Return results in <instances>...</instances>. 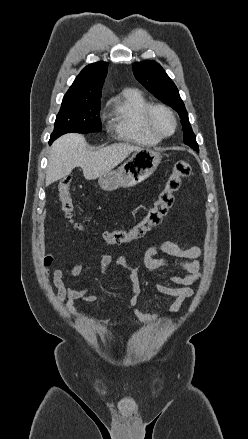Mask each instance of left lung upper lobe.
<instances>
[{
	"mask_svg": "<svg viewBox=\"0 0 248 439\" xmlns=\"http://www.w3.org/2000/svg\"><path fill=\"white\" fill-rule=\"evenodd\" d=\"M135 78L157 99L179 113L183 126L185 144L199 151L196 136L192 131L185 105L173 81L155 61L145 60L133 64Z\"/></svg>",
	"mask_w": 248,
	"mask_h": 439,
	"instance_id": "5c2ea615",
	"label": "left lung upper lobe"
}]
</instances>
